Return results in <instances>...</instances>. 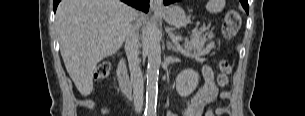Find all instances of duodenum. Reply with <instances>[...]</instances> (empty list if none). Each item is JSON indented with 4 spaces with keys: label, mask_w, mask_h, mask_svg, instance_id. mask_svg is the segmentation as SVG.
Returning <instances> with one entry per match:
<instances>
[{
    "label": "duodenum",
    "mask_w": 305,
    "mask_h": 116,
    "mask_svg": "<svg viewBox=\"0 0 305 116\" xmlns=\"http://www.w3.org/2000/svg\"><path fill=\"white\" fill-rule=\"evenodd\" d=\"M118 81L122 91L128 96L131 97V81L127 72L126 63L124 60L120 61L118 65Z\"/></svg>",
    "instance_id": "1"
}]
</instances>
